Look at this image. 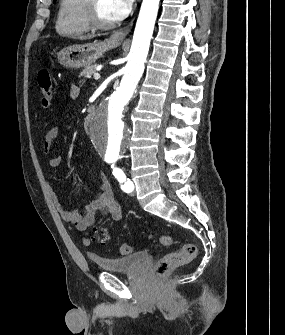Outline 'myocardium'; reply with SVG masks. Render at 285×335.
<instances>
[{
	"instance_id": "obj_1",
	"label": "myocardium",
	"mask_w": 285,
	"mask_h": 335,
	"mask_svg": "<svg viewBox=\"0 0 285 335\" xmlns=\"http://www.w3.org/2000/svg\"><path fill=\"white\" fill-rule=\"evenodd\" d=\"M89 22L90 28L94 31H108L114 27V23L105 22L99 14L98 1H89Z\"/></svg>"
}]
</instances>
